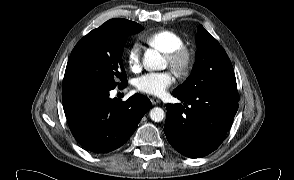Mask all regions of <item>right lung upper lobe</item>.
<instances>
[{
	"mask_svg": "<svg viewBox=\"0 0 294 180\" xmlns=\"http://www.w3.org/2000/svg\"><path fill=\"white\" fill-rule=\"evenodd\" d=\"M138 26L140 25L135 22H132L126 19L115 18L105 22L102 26H100V28H105V27L136 28Z\"/></svg>",
	"mask_w": 294,
	"mask_h": 180,
	"instance_id": "cb5924a9",
	"label": "right lung upper lobe"
}]
</instances>
